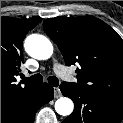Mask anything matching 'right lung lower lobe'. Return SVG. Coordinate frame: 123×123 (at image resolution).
<instances>
[{"label": "right lung lower lobe", "mask_w": 123, "mask_h": 123, "mask_svg": "<svg viewBox=\"0 0 123 123\" xmlns=\"http://www.w3.org/2000/svg\"><path fill=\"white\" fill-rule=\"evenodd\" d=\"M52 99L53 88L43 83L25 98L1 106V123H33L37 110Z\"/></svg>", "instance_id": "98d812e1"}]
</instances>
